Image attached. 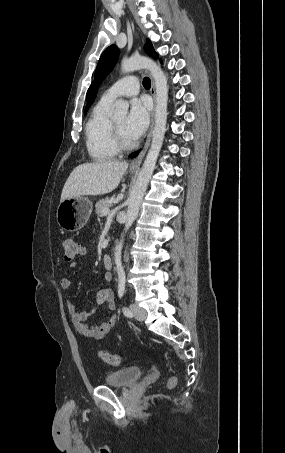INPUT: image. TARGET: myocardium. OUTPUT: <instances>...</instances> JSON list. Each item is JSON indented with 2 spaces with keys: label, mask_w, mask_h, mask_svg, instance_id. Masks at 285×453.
I'll return each instance as SVG.
<instances>
[{
  "label": "myocardium",
  "mask_w": 285,
  "mask_h": 453,
  "mask_svg": "<svg viewBox=\"0 0 285 453\" xmlns=\"http://www.w3.org/2000/svg\"><path fill=\"white\" fill-rule=\"evenodd\" d=\"M111 125L115 144L120 151L133 149L137 145V142L134 139L128 140L123 136L114 120H111Z\"/></svg>",
  "instance_id": "1"
}]
</instances>
